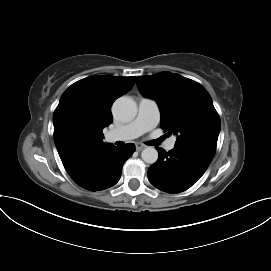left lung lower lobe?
Masks as SVG:
<instances>
[{
    "label": "left lung lower lobe",
    "mask_w": 271,
    "mask_h": 271,
    "mask_svg": "<svg viewBox=\"0 0 271 271\" xmlns=\"http://www.w3.org/2000/svg\"><path fill=\"white\" fill-rule=\"evenodd\" d=\"M158 160L149 167L150 183L167 193H180L193 184L204 174L211 163L215 152L186 144H175L166 152L157 148Z\"/></svg>",
    "instance_id": "left-lung-lower-lobe-1"
}]
</instances>
